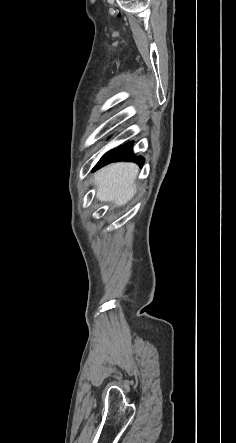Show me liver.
Listing matches in <instances>:
<instances>
[{
    "mask_svg": "<svg viewBox=\"0 0 236 443\" xmlns=\"http://www.w3.org/2000/svg\"><path fill=\"white\" fill-rule=\"evenodd\" d=\"M138 171L136 164L124 162L110 164L99 170L94 176L97 199L112 202L118 207L128 203L137 191L135 179Z\"/></svg>",
    "mask_w": 236,
    "mask_h": 443,
    "instance_id": "obj_1",
    "label": "liver"
}]
</instances>
